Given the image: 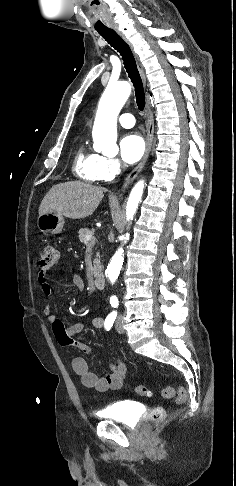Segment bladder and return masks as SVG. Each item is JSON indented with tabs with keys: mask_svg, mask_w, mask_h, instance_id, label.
<instances>
[{
	"mask_svg": "<svg viewBox=\"0 0 236 486\" xmlns=\"http://www.w3.org/2000/svg\"><path fill=\"white\" fill-rule=\"evenodd\" d=\"M139 412V406L133 402H118L111 404L99 411V416L111 419L126 425L135 422Z\"/></svg>",
	"mask_w": 236,
	"mask_h": 486,
	"instance_id": "bladder-1",
	"label": "bladder"
}]
</instances>
